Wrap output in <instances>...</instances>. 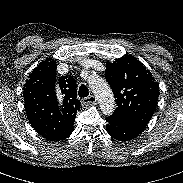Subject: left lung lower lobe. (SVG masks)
<instances>
[{"mask_svg":"<svg viewBox=\"0 0 183 183\" xmlns=\"http://www.w3.org/2000/svg\"><path fill=\"white\" fill-rule=\"evenodd\" d=\"M108 134L118 141H127L137 137L146 126L128 122L113 116L106 118Z\"/></svg>","mask_w":183,"mask_h":183,"instance_id":"1","label":"left lung lower lobe"}]
</instances>
